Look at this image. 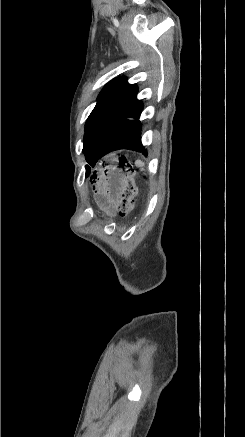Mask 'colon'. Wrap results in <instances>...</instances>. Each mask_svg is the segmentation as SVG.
I'll return each mask as SVG.
<instances>
[{"mask_svg":"<svg viewBox=\"0 0 245 437\" xmlns=\"http://www.w3.org/2000/svg\"><path fill=\"white\" fill-rule=\"evenodd\" d=\"M118 166L124 173V182L120 191L119 213L126 215L133 207L137 188L134 181V169L124 156L120 157Z\"/></svg>","mask_w":245,"mask_h":437,"instance_id":"colon-1","label":"colon"}]
</instances>
